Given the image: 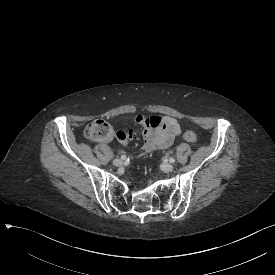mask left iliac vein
I'll return each instance as SVG.
<instances>
[{
	"label": "left iliac vein",
	"mask_w": 275,
	"mask_h": 275,
	"mask_svg": "<svg viewBox=\"0 0 275 275\" xmlns=\"http://www.w3.org/2000/svg\"><path fill=\"white\" fill-rule=\"evenodd\" d=\"M173 165L171 163H166L162 166V170L166 173L171 172L173 170Z\"/></svg>",
	"instance_id": "4c4485c4"
}]
</instances>
